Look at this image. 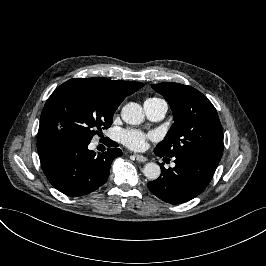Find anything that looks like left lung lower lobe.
Returning a JSON list of instances; mask_svg holds the SVG:
<instances>
[{
	"instance_id": "left-lung-lower-lobe-1",
	"label": "left lung lower lobe",
	"mask_w": 266,
	"mask_h": 266,
	"mask_svg": "<svg viewBox=\"0 0 266 266\" xmlns=\"http://www.w3.org/2000/svg\"><path fill=\"white\" fill-rule=\"evenodd\" d=\"M154 153L159 157H167L156 150ZM174 158L175 167L165 169L161 164L160 177L147 186L161 200L181 204L195 198L206 188L219 161L194 153H182Z\"/></svg>"
}]
</instances>
